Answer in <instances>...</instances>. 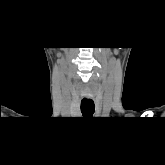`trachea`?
<instances>
[{
  "mask_svg": "<svg viewBox=\"0 0 165 165\" xmlns=\"http://www.w3.org/2000/svg\"><path fill=\"white\" fill-rule=\"evenodd\" d=\"M95 111L94 102L92 100H82L81 101V112L83 116H92Z\"/></svg>",
  "mask_w": 165,
  "mask_h": 165,
  "instance_id": "3493384b",
  "label": "trachea"
}]
</instances>
